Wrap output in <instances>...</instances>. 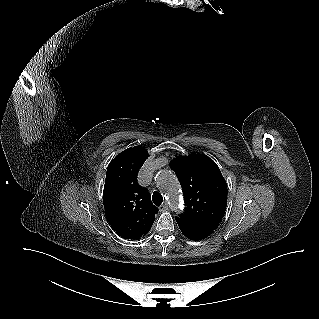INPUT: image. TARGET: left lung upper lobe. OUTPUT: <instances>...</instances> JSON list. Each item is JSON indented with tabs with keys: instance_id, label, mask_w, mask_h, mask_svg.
<instances>
[{
	"instance_id": "obj_1",
	"label": "left lung upper lobe",
	"mask_w": 319,
	"mask_h": 319,
	"mask_svg": "<svg viewBox=\"0 0 319 319\" xmlns=\"http://www.w3.org/2000/svg\"><path fill=\"white\" fill-rule=\"evenodd\" d=\"M181 184L185 211L178 219L215 230L227 206V184L217 164L203 154L179 156L170 163Z\"/></svg>"
}]
</instances>
